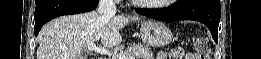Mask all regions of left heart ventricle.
Here are the masks:
<instances>
[{"mask_svg": "<svg viewBox=\"0 0 261 59\" xmlns=\"http://www.w3.org/2000/svg\"><path fill=\"white\" fill-rule=\"evenodd\" d=\"M150 2V1H149ZM152 2V1H151ZM153 2H164V1H153Z\"/></svg>", "mask_w": 261, "mask_h": 59, "instance_id": "obj_1", "label": "left heart ventricle"}]
</instances>
